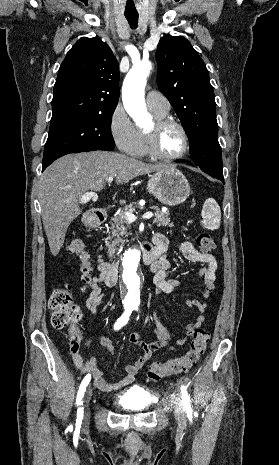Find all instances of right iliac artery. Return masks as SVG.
<instances>
[{"label":"right iliac artery","mask_w":279,"mask_h":465,"mask_svg":"<svg viewBox=\"0 0 279 465\" xmlns=\"http://www.w3.org/2000/svg\"><path fill=\"white\" fill-rule=\"evenodd\" d=\"M132 310H133V307H131V306H126L125 307L124 313L122 314V316L117 320V322L114 325L115 330H119L122 326H124L128 322L129 316H130ZM90 379H91V375L87 374L85 376V378L83 379V381L81 382V384H80L79 391H78L77 398H76V405L77 406H80L81 404H83L82 398L84 396V392L86 390V387L90 382ZM82 419H83V407H79L78 410H77V422L79 424H81Z\"/></svg>","instance_id":"obj_1"}]
</instances>
